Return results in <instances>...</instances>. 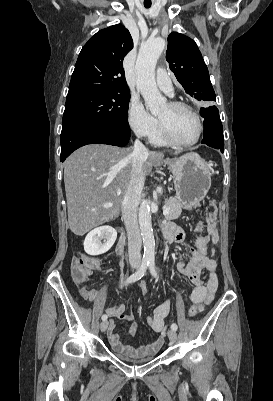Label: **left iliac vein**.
<instances>
[{"label":"left iliac vein","instance_id":"4c4485c4","mask_svg":"<svg viewBox=\"0 0 273 401\" xmlns=\"http://www.w3.org/2000/svg\"><path fill=\"white\" fill-rule=\"evenodd\" d=\"M168 337H169V340L172 343H175L177 341V333H176V331L173 330V329L169 330L168 331Z\"/></svg>","mask_w":273,"mask_h":401}]
</instances>
